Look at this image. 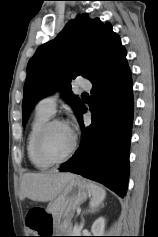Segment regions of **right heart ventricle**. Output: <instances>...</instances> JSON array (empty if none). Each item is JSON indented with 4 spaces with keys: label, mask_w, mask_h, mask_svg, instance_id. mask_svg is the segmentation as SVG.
Wrapping results in <instances>:
<instances>
[{
    "label": "right heart ventricle",
    "mask_w": 158,
    "mask_h": 237,
    "mask_svg": "<svg viewBox=\"0 0 158 237\" xmlns=\"http://www.w3.org/2000/svg\"><path fill=\"white\" fill-rule=\"evenodd\" d=\"M51 114L46 113L44 111L39 110L36 108V112L34 115V118L32 120L28 136H27V142H26V150L27 155L30 160V162L40 170L47 169L51 165L41 160L35 151V139L37 137L38 132L42 128V126L50 119Z\"/></svg>",
    "instance_id": "1"
}]
</instances>
